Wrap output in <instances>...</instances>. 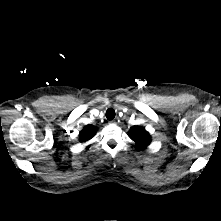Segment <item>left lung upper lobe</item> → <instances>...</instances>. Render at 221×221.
Masks as SVG:
<instances>
[{
    "label": "left lung upper lobe",
    "mask_w": 221,
    "mask_h": 221,
    "mask_svg": "<svg viewBox=\"0 0 221 221\" xmlns=\"http://www.w3.org/2000/svg\"><path fill=\"white\" fill-rule=\"evenodd\" d=\"M129 137L140 149H145L151 142V137L144 127L135 126L130 129Z\"/></svg>",
    "instance_id": "left-lung-upper-lobe-1"
}]
</instances>
